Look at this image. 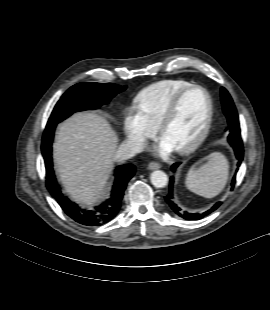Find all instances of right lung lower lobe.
Wrapping results in <instances>:
<instances>
[{
	"label": "right lung lower lobe",
	"instance_id": "obj_1",
	"mask_svg": "<svg viewBox=\"0 0 270 310\" xmlns=\"http://www.w3.org/2000/svg\"><path fill=\"white\" fill-rule=\"evenodd\" d=\"M57 123H47L42 138V154L46 167V185L51 195L56 199L64 212L76 222L87 226H99L110 221L119 211L121 200L127 182L135 174V166L126 164L115 171V183L110 199L93 210L81 209L61 192L52 167L51 146Z\"/></svg>",
	"mask_w": 270,
	"mask_h": 310
}]
</instances>
